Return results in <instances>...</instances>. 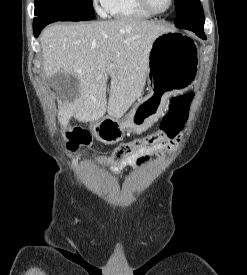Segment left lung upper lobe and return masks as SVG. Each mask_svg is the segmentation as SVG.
<instances>
[{"label": "left lung upper lobe", "mask_w": 247, "mask_h": 275, "mask_svg": "<svg viewBox=\"0 0 247 275\" xmlns=\"http://www.w3.org/2000/svg\"><path fill=\"white\" fill-rule=\"evenodd\" d=\"M175 6L177 27L203 29L205 21L200 0H175Z\"/></svg>", "instance_id": "obj_1"}]
</instances>
